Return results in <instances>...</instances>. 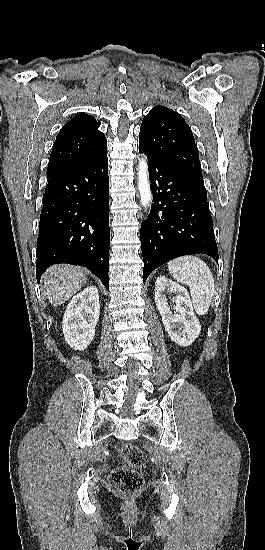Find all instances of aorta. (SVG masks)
Segmentation results:
<instances>
[{
	"label": "aorta",
	"instance_id": "obj_1",
	"mask_svg": "<svg viewBox=\"0 0 265 550\" xmlns=\"http://www.w3.org/2000/svg\"><path fill=\"white\" fill-rule=\"evenodd\" d=\"M138 190L143 207L147 208L152 201V193L148 178V165L145 156H142L138 165Z\"/></svg>",
	"mask_w": 265,
	"mask_h": 550
}]
</instances>
